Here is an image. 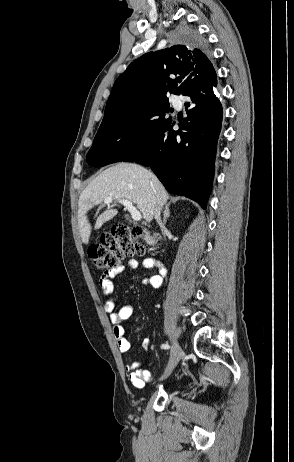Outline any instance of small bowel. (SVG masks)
I'll list each match as a JSON object with an SVG mask.
<instances>
[{"label":"small bowel","mask_w":294,"mask_h":462,"mask_svg":"<svg viewBox=\"0 0 294 462\" xmlns=\"http://www.w3.org/2000/svg\"><path fill=\"white\" fill-rule=\"evenodd\" d=\"M139 263L135 259H131L127 262L126 266L119 265L109 271H106L99 280L100 287L102 289L103 296L106 298L104 302V309L108 313L111 323L113 324V334L118 346V349L122 353H126L130 349V342L125 337V329L123 323L131 319L133 308L131 305H124L120 309L116 310L115 300L113 298L114 283L113 279L121 274L125 269H136ZM144 268H159V274H155L146 277L142 280V284L145 286H151L159 288L163 283V277L166 274V270L161 264L152 258H146L141 262ZM150 347V340L145 339L142 342V348L147 353ZM126 371L132 385L136 388H143L146 383L153 380L152 373L149 365L144 366V361L137 360L131 364L126 365Z\"/></svg>","instance_id":"small-bowel-1"}]
</instances>
